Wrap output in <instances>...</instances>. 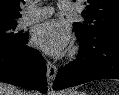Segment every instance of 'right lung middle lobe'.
Returning <instances> with one entry per match:
<instances>
[{
  "label": "right lung middle lobe",
  "instance_id": "obj_1",
  "mask_svg": "<svg viewBox=\"0 0 119 95\" xmlns=\"http://www.w3.org/2000/svg\"><path fill=\"white\" fill-rule=\"evenodd\" d=\"M16 25L17 24L0 26V41L19 39L23 34L13 33V30L15 29Z\"/></svg>",
  "mask_w": 119,
  "mask_h": 95
}]
</instances>
